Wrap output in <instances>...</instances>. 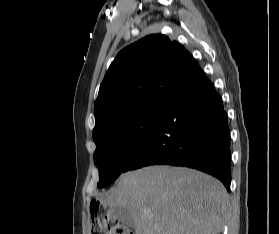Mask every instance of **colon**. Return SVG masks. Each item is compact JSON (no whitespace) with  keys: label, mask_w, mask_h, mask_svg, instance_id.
Returning <instances> with one entry per match:
<instances>
[{"label":"colon","mask_w":279,"mask_h":234,"mask_svg":"<svg viewBox=\"0 0 279 234\" xmlns=\"http://www.w3.org/2000/svg\"><path fill=\"white\" fill-rule=\"evenodd\" d=\"M90 223L92 234H133L106 207L96 202L91 204Z\"/></svg>","instance_id":"colon-1"}]
</instances>
